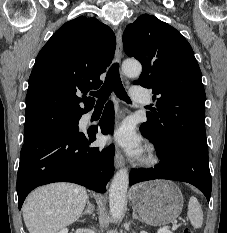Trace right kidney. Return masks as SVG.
<instances>
[{"instance_id": "ca27d5eb", "label": "right kidney", "mask_w": 227, "mask_h": 233, "mask_svg": "<svg viewBox=\"0 0 227 233\" xmlns=\"http://www.w3.org/2000/svg\"><path fill=\"white\" fill-rule=\"evenodd\" d=\"M58 233H68V229L67 228H63Z\"/></svg>"}]
</instances>
